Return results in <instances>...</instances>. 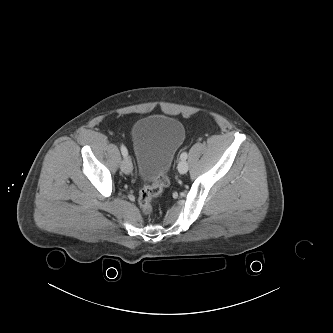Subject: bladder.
Wrapping results in <instances>:
<instances>
[{
    "label": "bladder",
    "mask_w": 333,
    "mask_h": 333,
    "mask_svg": "<svg viewBox=\"0 0 333 333\" xmlns=\"http://www.w3.org/2000/svg\"><path fill=\"white\" fill-rule=\"evenodd\" d=\"M131 139L140 177L145 181H153L167 174L185 139V129L173 117L151 115L134 123Z\"/></svg>",
    "instance_id": "1"
}]
</instances>
